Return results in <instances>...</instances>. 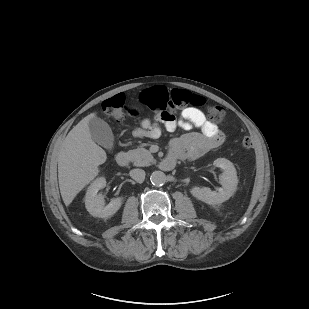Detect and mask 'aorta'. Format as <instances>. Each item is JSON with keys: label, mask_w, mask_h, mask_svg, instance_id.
<instances>
[{"label": "aorta", "mask_w": 309, "mask_h": 309, "mask_svg": "<svg viewBox=\"0 0 309 309\" xmlns=\"http://www.w3.org/2000/svg\"><path fill=\"white\" fill-rule=\"evenodd\" d=\"M166 180V175L162 171H154L150 176L151 183L157 187L164 185Z\"/></svg>", "instance_id": "762f6f07"}]
</instances>
